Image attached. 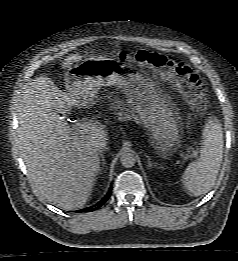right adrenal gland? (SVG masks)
I'll list each match as a JSON object with an SVG mask.
<instances>
[{
    "label": "right adrenal gland",
    "mask_w": 238,
    "mask_h": 261,
    "mask_svg": "<svg viewBox=\"0 0 238 261\" xmlns=\"http://www.w3.org/2000/svg\"><path fill=\"white\" fill-rule=\"evenodd\" d=\"M100 166H99V171H102V170H105L106 169V162H105V159H104V154L103 152L100 153Z\"/></svg>",
    "instance_id": "2a0ac1e0"
}]
</instances>
